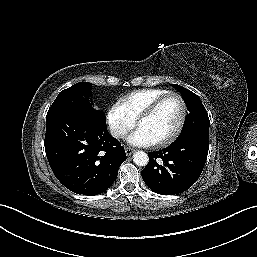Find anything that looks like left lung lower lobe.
Here are the masks:
<instances>
[{
	"label": "left lung lower lobe",
	"instance_id": "1",
	"mask_svg": "<svg viewBox=\"0 0 257 257\" xmlns=\"http://www.w3.org/2000/svg\"><path fill=\"white\" fill-rule=\"evenodd\" d=\"M209 137L189 136L169 147L149 152V163L142 171L146 185L162 195L179 194L189 189L204 168Z\"/></svg>",
	"mask_w": 257,
	"mask_h": 257
}]
</instances>
